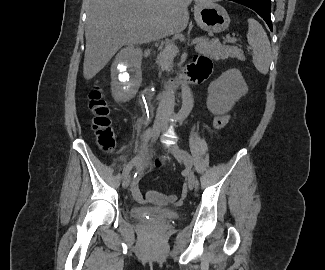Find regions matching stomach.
Masks as SVG:
<instances>
[{
  "instance_id": "1",
  "label": "stomach",
  "mask_w": 325,
  "mask_h": 270,
  "mask_svg": "<svg viewBox=\"0 0 325 270\" xmlns=\"http://www.w3.org/2000/svg\"><path fill=\"white\" fill-rule=\"evenodd\" d=\"M194 17L199 27L209 32H222L230 24L226 10L215 3H200L195 6Z\"/></svg>"
}]
</instances>
